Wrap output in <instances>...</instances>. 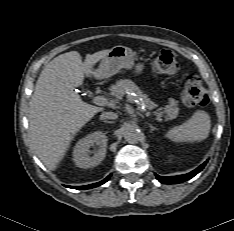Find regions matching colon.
<instances>
[{
    "mask_svg": "<svg viewBox=\"0 0 234 231\" xmlns=\"http://www.w3.org/2000/svg\"><path fill=\"white\" fill-rule=\"evenodd\" d=\"M151 65L153 71L159 75H175L180 69L175 55L169 50L160 51L152 60ZM181 100L186 107H199L208 104V93L195 75L185 77Z\"/></svg>",
    "mask_w": 234,
    "mask_h": 231,
    "instance_id": "obj_1",
    "label": "colon"
}]
</instances>
